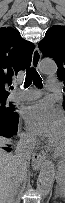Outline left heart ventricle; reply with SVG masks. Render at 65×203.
<instances>
[{
    "label": "left heart ventricle",
    "instance_id": "1",
    "mask_svg": "<svg viewBox=\"0 0 65 203\" xmlns=\"http://www.w3.org/2000/svg\"><path fill=\"white\" fill-rule=\"evenodd\" d=\"M52 145L59 149L64 150L65 149V129L63 132L52 142Z\"/></svg>",
    "mask_w": 65,
    "mask_h": 203
}]
</instances>
